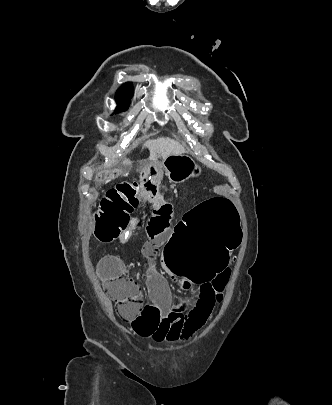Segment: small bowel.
Listing matches in <instances>:
<instances>
[{"label":"small bowel","instance_id":"obj_1","mask_svg":"<svg viewBox=\"0 0 332 405\" xmlns=\"http://www.w3.org/2000/svg\"><path fill=\"white\" fill-rule=\"evenodd\" d=\"M117 174V168H104L103 172H92L91 178L97 186H110V177H117ZM163 177L164 170L157 159L145 164L139 175L138 205H152V215L146 227L147 240L142 249L149 262L147 288L150 301H143V311H138L137 317L132 320V329L138 336L155 342H176L190 338L209 318L213 292L211 281H205L204 286L196 288L191 297L175 305L167 279L155 269L157 251L171 240L173 233L170 225L174 209L162 197L160 182ZM130 238L131 232L126 230L121 234L120 241L125 243ZM124 271L122 259L114 254L104 256L97 264V273L105 281L120 276ZM177 285L182 291H188L191 281L178 278Z\"/></svg>","mask_w":332,"mask_h":405}]
</instances>
